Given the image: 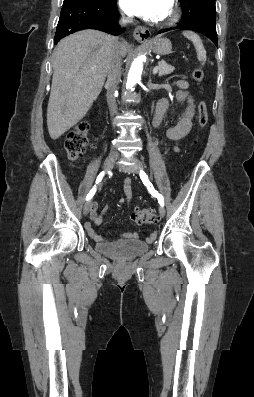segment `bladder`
I'll return each instance as SVG.
<instances>
[{
  "instance_id": "1",
  "label": "bladder",
  "mask_w": 254,
  "mask_h": 397,
  "mask_svg": "<svg viewBox=\"0 0 254 397\" xmlns=\"http://www.w3.org/2000/svg\"><path fill=\"white\" fill-rule=\"evenodd\" d=\"M95 248L102 254L117 260H128L145 253L149 246L140 239L96 243Z\"/></svg>"
}]
</instances>
